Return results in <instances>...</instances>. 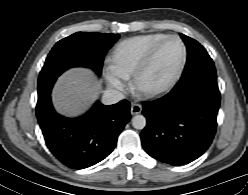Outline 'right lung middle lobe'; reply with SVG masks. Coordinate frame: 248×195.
Masks as SVG:
<instances>
[{"instance_id": "dd1d6c3e", "label": "right lung middle lobe", "mask_w": 248, "mask_h": 195, "mask_svg": "<svg viewBox=\"0 0 248 195\" xmlns=\"http://www.w3.org/2000/svg\"><path fill=\"white\" fill-rule=\"evenodd\" d=\"M118 34L77 32L55 44L40 72L38 85L56 79L71 67H88L101 73L106 52Z\"/></svg>"}]
</instances>
